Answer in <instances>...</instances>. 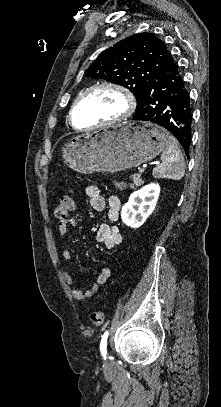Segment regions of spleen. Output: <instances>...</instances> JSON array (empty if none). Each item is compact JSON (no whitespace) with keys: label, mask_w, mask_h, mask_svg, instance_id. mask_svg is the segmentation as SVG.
Returning <instances> with one entry per match:
<instances>
[{"label":"spleen","mask_w":221,"mask_h":407,"mask_svg":"<svg viewBox=\"0 0 221 407\" xmlns=\"http://www.w3.org/2000/svg\"><path fill=\"white\" fill-rule=\"evenodd\" d=\"M185 173V160L177 140L167 136L166 148L161 154V163L152 172L155 178L180 180Z\"/></svg>","instance_id":"spleen-1"}]
</instances>
